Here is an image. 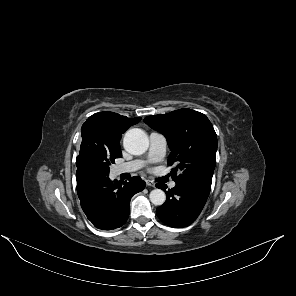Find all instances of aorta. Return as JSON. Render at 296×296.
Wrapping results in <instances>:
<instances>
[{
    "label": "aorta",
    "instance_id": "aorta-1",
    "mask_svg": "<svg viewBox=\"0 0 296 296\" xmlns=\"http://www.w3.org/2000/svg\"><path fill=\"white\" fill-rule=\"evenodd\" d=\"M123 145L130 154L140 155L148 149L149 139L143 130L132 128L125 133ZM149 198L154 205L161 206L166 200V194L161 189H154L150 192Z\"/></svg>",
    "mask_w": 296,
    "mask_h": 296
}]
</instances>
